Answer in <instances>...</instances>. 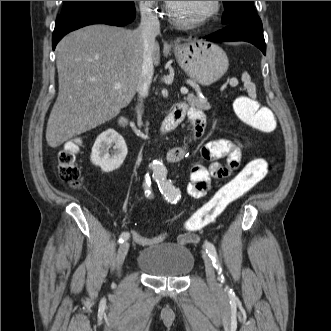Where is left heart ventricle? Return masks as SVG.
Instances as JSON below:
<instances>
[{
	"label": "left heart ventricle",
	"instance_id": "b2bd125f",
	"mask_svg": "<svg viewBox=\"0 0 331 331\" xmlns=\"http://www.w3.org/2000/svg\"><path fill=\"white\" fill-rule=\"evenodd\" d=\"M170 4L174 15L181 20L187 21L208 12L212 1H174Z\"/></svg>",
	"mask_w": 331,
	"mask_h": 331
}]
</instances>
